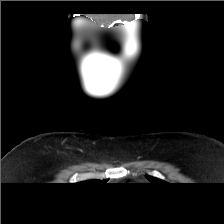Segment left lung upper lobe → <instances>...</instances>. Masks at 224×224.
Listing matches in <instances>:
<instances>
[{"label":"left lung upper lobe","mask_w":224,"mask_h":224,"mask_svg":"<svg viewBox=\"0 0 224 224\" xmlns=\"http://www.w3.org/2000/svg\"><path fill=\"white\" fill-rule=\"evenodd\" d=\"M146 177H147V179H148L149 181L152 182V184H158V183H163V182H164V181H162V180H160V179H158V178H156V177H153V176H149V175H147Z\"/></svg>","instance_id":"obj_1"}]
</instances>
